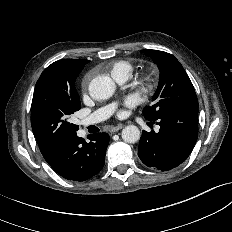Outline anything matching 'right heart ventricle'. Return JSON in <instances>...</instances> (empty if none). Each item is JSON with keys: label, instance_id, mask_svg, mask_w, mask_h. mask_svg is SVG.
<instances>
[{"label": "right heart ventricle", "instance_id": "1", "mask_svg": "<svg viewBox=\"0 0 232 232\" xmlns=\"http://www.w3.org/2000/svg\"><path fill=\"white\" fill-rule=\"evenodd\" d=\"M133 70V65L128 60H117L112 63L110 72L113 78H117L123 75L130 76Z\"/></svg>", "mask_w": 232, "mask_h": 232}]
</instances>
